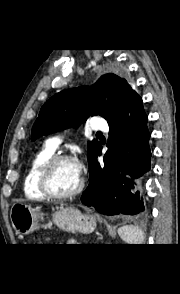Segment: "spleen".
I'll list each match as a JSON object with an SVG mask.
<instances>
[{"mask_svg":"<svg viewBox=\"0 0 180 294\" xmlns=\"http://www.w3.org/2000/svg\"><path fill=\"white\" fill-rule=\"evenodd\" d=\"M121 239L126 244H141L144 240V235L139 227L133 225H125L118 229Z\"/></svg>","mask_w":180,"mask_h":294,"instance_id":"3e777b00","label":"spleen"}]
</instances>
